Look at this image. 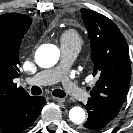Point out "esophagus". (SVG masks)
<instances>
[{
	"label": "esophagus",
	"mask_w": 133,
	"mask_h": 133,
	"mask_svg": "<svg viewBox=\"0 0 133 133\" xmlns=\"http://www.w3.org/2000/svg\"><path fill=\"white\" fill-rule=\"evenodd\" d=\"M52 99H53L55 102H58V103H64V102H65V99H64V98L52 97Z\"/></svg>",
	"instance_id": "34e87169"
}]
</instances>
